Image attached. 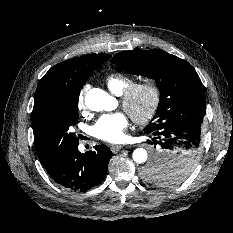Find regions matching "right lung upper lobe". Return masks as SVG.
<instances>
[{"instance_id":"1","label":"right lung upper lobe","mask_w":233,"mask_h":233,"mask_svg":"<svg viewBox=\"0 0 233 233\" xmlns=\"http://www.w3.org/2000/svg\"><path fill=\"white\" fill-rule=\"evenodd\" d=\"M111 57L109 54H89L63 61L51 68L41 79L34 101V110L53 99L80 94L89 75Z\"/></svg>"}]
</instances>
